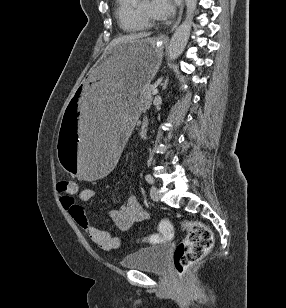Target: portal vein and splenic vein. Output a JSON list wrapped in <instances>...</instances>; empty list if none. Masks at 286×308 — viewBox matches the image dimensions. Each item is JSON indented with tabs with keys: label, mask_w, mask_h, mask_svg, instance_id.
Listing matches in <instances>:
<instances>
[{
	"label": "portal vein and splenic vein",
	"mask_w": 286,
	"mask_h": 308,
	"mask_svg": "<svg viewBox=\"0 0 286 308\" xmlns=\"http://www.w3.org/2000/svg\"><path fill=\"white\" fill-rule=\"evenodd\" d=\"M151 92H152L153 95H156V94H158V89L153 87Z\"/></svg>",
	"instance_id": "18ae733b"
}]
</instances>
